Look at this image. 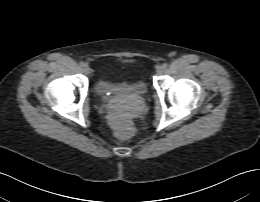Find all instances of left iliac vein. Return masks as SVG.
I'll return each mask as SVG.
<instances>
[{
    "label": "left iliac vein",
    "instance_id": "left-iliac-vein-1",
    "mask_svg": "<svg viewBox=\"0 0 260 202\" xmlns=\"http://www.w3.org/2000/svg\"><path fill=\"white\" fill-rule=\"evenodd\" d=\"M156 72L158 75H161L164 72L163 66H158Z\"/></svg>",
    "mask_w": 260,
    "mask_h": 202
}]
</instances>
